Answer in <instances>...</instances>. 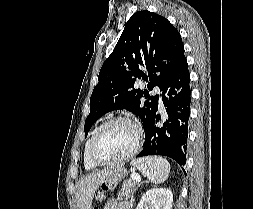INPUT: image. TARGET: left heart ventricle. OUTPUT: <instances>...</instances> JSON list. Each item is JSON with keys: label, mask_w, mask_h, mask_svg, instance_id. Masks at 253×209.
<instances>
[{"label": "left heart ventricle", "mask_w": 253, "mask_h": 209, "mask_svg": "<svg viewBox=\"0 0 253 209\" xmlns=\"http://www.w3.org/2000/svg\"><path fill=\"white\" fill-rule=\"evenodd\" d=\"M133 127L124 121H116L107 125L100 133L95 153L102 160L118 158L128 152L134 145Z\"/></svg>", "instance_id": "left-heart-ventricle-1"}]
</instances>
